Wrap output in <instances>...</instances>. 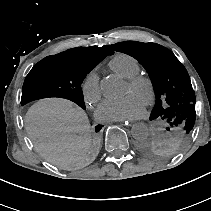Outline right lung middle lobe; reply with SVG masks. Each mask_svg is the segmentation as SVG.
Wrapping results in <instances>:
<instances>
[{"label":"right lung middle lobe","mask_w":211,"mask_h":211,"mask_svg":"<svg viewBox=\"0 0 211 211\" xmlns=\"http://www.w3.org/2000/svg\"><path fill=\"white\" fill-rule=\"evenodd\" d=\"M102 60V58H79L62 54L45 57L26 76L21 105L36 99L61 97L85 109L81 83ZM100 129L101 126L98 125L95 131L98 132Z\"/></svg>","instance_id":"obj_1"}]
</instances>
